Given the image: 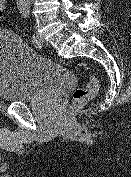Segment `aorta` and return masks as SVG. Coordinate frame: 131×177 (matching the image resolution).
Returning <instances> with one entry per match:
<instances>
[{"label": "aorta", "mask_w": 131, "mask_h": 177, "mask_svg": "<svg viewBox=\"0 0 131 177\" xmlns=\"http://www.w3.org/2000/svg\"><path fill=\"white\" fill-rule=\"evenodd\" d=\"M30 0H17L19 3L28 4Z\"/></svg>", "instance_id": "1"}]
</instances>
